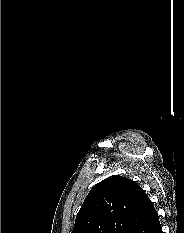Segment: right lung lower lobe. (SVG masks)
I'll use <instances>...</instances> for the list:
<instances>
[{
	"label": "right lung lower lobe",
	"mask_w": 184,
	"mask_h": 233,
	"mask_svg": "<svg viewBox=\"0 0 184 233\" xmlns=\"http://www.w3.org/2000/svg\"><path fill=\"white\" fill-rule=\"evenodd\" d=\"M130 233H163L159 216L154 210L143 222L135 227Z\"/></svg>",
	"instance_id": "right-lung-lower-lobe-1"
}]
</instances>
